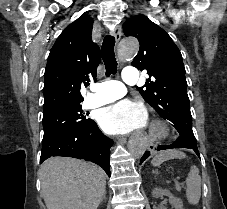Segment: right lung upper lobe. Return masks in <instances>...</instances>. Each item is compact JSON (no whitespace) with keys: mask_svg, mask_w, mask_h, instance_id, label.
Returning a JSON list of instances; mask_svg holds the SVG:
<instances>
[{"mask_svg":"<svg viewBox=\"0 0 227 209\" xmlns=\"http://www.w3.org/2000/svg\"><path fill=\"white\" fill-rule=\"evenodd\" d=\"M93 19L79 17L57 38L44 74V104L51 100H83L81 87L96 77L100 48L92 41Z\"/></svg>","mask_w":227,"mask_h":209,"instance_id":"1","label":"right lung upper lobe"}]
</instances>
